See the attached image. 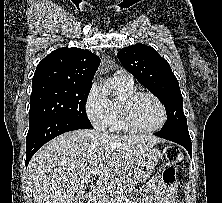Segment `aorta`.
I'll return each mask as SVG.
<instances>
[{"instance_id":"1","label":"aorta","mask_w":222,"mask_h":203,"mask_svg":"<svg viewBox=\"0 0 222 203\" xmlns=\"http://www.w3.org/2000/svg\"><path fill=\"white\" fill-rule=\"evenodd\" d=\"M99 83L103 92L107 94L116 93V85L114 84V82L107 81L106 79L100 77Z\"/></svg>"}]
</instances>
